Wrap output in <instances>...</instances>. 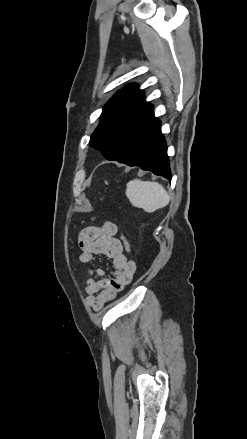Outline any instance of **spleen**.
<instances>
[{
  "label": "spleen",
  "instance_id": "spleen-1",
  "mask_svg": "<svg viewBox=\"0 0 247 439\" xmlns=\"http://www.w3.org/2000/svg\"><path fill=\"white\" fill-rule=\"evenodd\" d=\"M126 196L134 207L142 208L147 213L165 207L169 195L158 182L134 179L127 183Z\"/></svg>",
  "mask_w": 247,
  "mask_h": 439
}]
</instances>
